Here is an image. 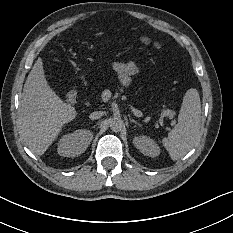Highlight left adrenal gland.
I'll return each mask as SVG.
<instances>
[{"instance_id":"a2214340","label":"left adrenal gland","mask_w":233,"mask_h":233,"mask_svg":"<svg viewBox=\"0 0 233 233\" xmlns=\"http://www.w3.org/2000/svg\"><path fill=\"white\" fill-rule=\"evenodd\" d=\"M130 121H131V122H135V123H138V124H139V122H138L137 120H135V119H130Z\"/></svg>"}]
</instances>
